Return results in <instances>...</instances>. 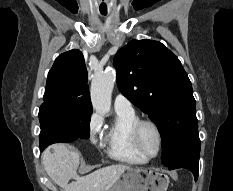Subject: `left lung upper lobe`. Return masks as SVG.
Returning <instances> with one entry per match:
<instances>
[{
    "mask_svg": "<svg viewBox=\"0 0 233 191\" xmlns=\"http://www.w3.org/2000/svg\"><path fill=\"white\" fill-rule=\"evenodd\" d=\"M119 90L157 125L163 164L200 151L196 102L179 59L162 43L132 40L114 57Z\"/></svg>",
    "mask_w": 233,
    "mask_h": 191,
    "instance_id": "1",
    "label": "left lung upper lobe"
}]
</instances>
